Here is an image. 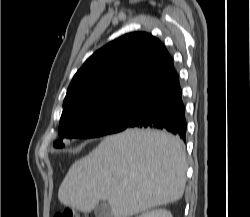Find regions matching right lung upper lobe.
Returning <instances> with one entry per match:
<instances>
[{"mask_svg": "<svg viewBox=\"0 0 250 217\" xmlns=\"http://www.w3.org/2000/svg\"><path fill=\"white\" fill-rule=\"evenodd\" d=\"M174 73L160 40L145 32L126 34L96 51L77 71L60 122L89 109L137 100Z\"/></svg>", "mask_w": 250, "mask_h": 217, "instance_id": "cb5924a9", "label": "right lung upper lobe"}]
</instances>
